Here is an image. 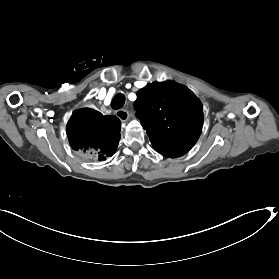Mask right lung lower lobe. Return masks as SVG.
Listing matches in <instances>:
<instances>
[{"label": "right lung lower lobe", "mask_w": 279, "mask_h": 279, "mask_svg": "<svg viewBox=\"0 0 279 279\" xmlns=\"http://www.w3.org/2000/svg\"><path fill=\"white\" fill-rule=\"evenodd\" d=\"M121 122L116 116H103L91 108L73 113L67 126L69 143L87 161L106 160L116 151Z\"/></svg>", "instance_id": "right-lung-lower-lobe-1"}]
</instances>
